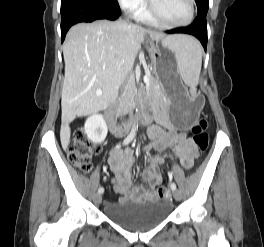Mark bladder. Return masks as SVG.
Listing matches in <instances>:
<instances>
[{
    "label": "bladder",
    "instance_id": "obj_1",
    "mask_svg": "<svg viewBox=\"0 0 264 247\" xmlns=\"http://www.w3.org/2000/svg\"><path fill=\"white\" fill-rule=\"evenodd\" d=\"M172 205L162 198L147 201L124 200L105 206V216L113 223L132 231H145L164 222Z\"/></svg>",
    "mask_w": 264,
    "mask_h": 247
}]
</instances>
